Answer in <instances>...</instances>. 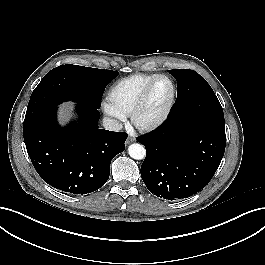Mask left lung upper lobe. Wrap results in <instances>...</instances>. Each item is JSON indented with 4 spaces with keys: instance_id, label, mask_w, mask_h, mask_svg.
I'll return each mask as SVG.
<instances>
[{
    "instance_id": "left-lung-upper-lobe-1",
    "label": "left lung upper lobe",
    "mask_w": 265,
    "mask_h": 265,
    "mask_svg": "<svg viewBox=\"0 0 265 265\" xmlns=\"http://www.w3.org/2000/svg\"><path fill=\"white\" fill-rule=\"evenodd\" d=\"M168 72L178 82L177 99L168 118L199 117L224 124L222 107L202 76L189 69H174Z\"/></svg>"
}]
</instances>
